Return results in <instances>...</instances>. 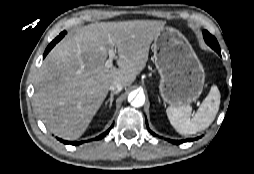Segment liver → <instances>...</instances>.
<instances>
[{
  "mask_svg": "<svg viewBox=\"0 0 254 174\" xmlns=\"http://www.w3.org/2000/svg\"><path fill=\"white\" fill-rule=\"evenodd\" d=\"M166 22L133 20L92 23L59 42L37 77L34 107L47 129L66 140L79 138L117 81L130 86L145 68L152 41ZM115 48L119 68H106Z\"/></svg>",
  "mask_w": 254,
  "mask_h": 174,
  "instance_id": "liver-1",
  "label": "liver"
}]
</instances>
